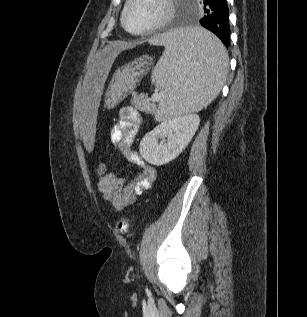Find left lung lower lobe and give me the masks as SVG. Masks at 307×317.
Instances as JSON below:
<instances>
[{
	"label": "left lung lower lobe",
	"instance_id": "left-lung-lower-lobe-1",
	"mask_svg": "<svg viewBox=\"0 0 307 317\" xmlns=\"http://www.w3.org/2000/svg\"><path fill=\"white\" fill-rule=\"evenodd\" d=\"M204 13L200 24L213 32L228 48L230 45L229 9L226 0H203ZM213 59V56L211 57Z\"/></svg>",
	"mask_w": 307,
	"mask_h": 317
}]
</instances>
